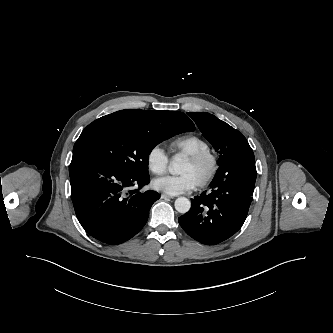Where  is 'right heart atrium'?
Segmentation results:
<instances>
[{
    "label": "right heart atrium",
    "instance_id": "right-heart-atrium-1",
    "mask_svg": "<svg viewBox=\"0 0 333 333\" xmlns=\"http://www.w3.org/2000/svg\"><path fill=\"white\" fill-rule=\"evenodd\" d=\"M146 164L148 170L156 175L161 176L168 170L169 159L160 145H154L146 155Z\"/></svg>",
    "mask_w": 333,
    "mask_h": 333
}]
</instances>
